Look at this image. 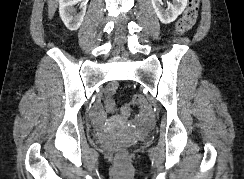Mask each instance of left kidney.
Masks as SVG:
<instances>
[{"label": "left kidney", "mask_w": 244, "mask_h": 179, "mask_svg": "<svg viewBox=\"0 0 244 179\" xmlns=\"http://www.w3.org/2000/svg\"><path fill=\"white\" fill-rule=\"evenodd\" d=\"M187 2L188 0H173V4H170L168 10H163L160 6L161 0H152V6L162 24H171L184 12Z\"/></svg>", "instance_id": "obj_1"}]
</instances>
